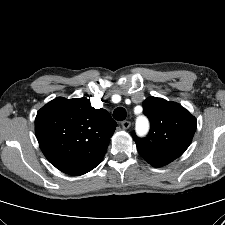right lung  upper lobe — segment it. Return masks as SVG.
Here are the masks:
<instances>
[{"instance_id":"right-lung-upper-lobe-1","label":"right lung upper lobe","mask_w":225,"mask_h":225,"mask_svg":"<svg viewBox=\"0 0 225 225\" xmlns=\"http://www.w3.org/2000/svg\"><path fill=\"white\" fill-rule=\"evenodd\" d=\"M116 126L108 111L91 107L87 98L58 97L41 108L35 119L43 154L72 176L83 175L102 161Z\"/></svg>"}]
</instances>
